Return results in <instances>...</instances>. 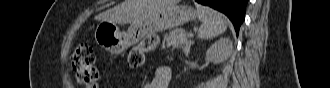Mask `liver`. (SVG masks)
<instances>
[{"instance_id":"1","label":"liver","mask_w":330,"mask_h":88,"mask_svg":"<svg viewBox=\"0 0 330 88\" xmlns=\"http://www.w3.org/2000/svg\"><path fill=\"white\" fill-rule=\"evenodd\" d=\"M176 0H125L103 13L101 19L115 23H135L146 19L160 8L177 3Z\"/></svg>"}]
</instances>
